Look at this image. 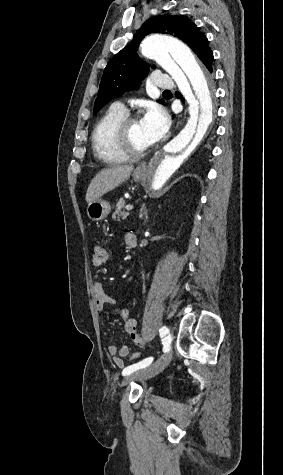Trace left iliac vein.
<instances>
[{"label":"left iliac vein","instance_id":"4c4485c4","mask_svg":"<svg viewBox=\"0 0 283 475\" xmlns=\"http://www.w3.org/2000/svg\"><path fill=\"white\" fill-rule=\"evenodd\" d=\"M166 340L168 341V343H170L171 340H172V335L168 334L167 337H166ZM171 359H172V352H171V350H169L167 353L161 355L150 366H148V367H146V368H144L140 371H137L135 373L127 375L122 380L121 386H126L134 380H147V379H150V378L154 377L155 375L160 373L168 365V363L171 361Z\"/></svg>","mask_w":283,"mask_h":475}]
</instances>
